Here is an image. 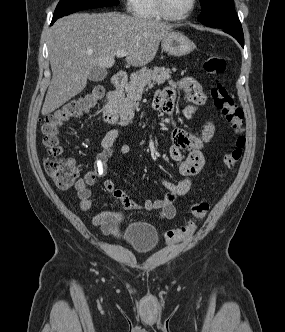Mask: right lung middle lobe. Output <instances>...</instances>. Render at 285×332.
<instances>
[{"mask_svg":"<svg viewBox=\"0 0 285 332\" xmlns=\"http://www.w3.org/2000/svg\"><path fill=\"white\" fill-rule=\"evenodd\" d=\"M119 4V0H60L53 17H63L71 13L104 6H115Z\"/></svg>","mask_w":285,"mask_h":332,"instance_id":"right-lung-middle-lobe-1","label":"right lung middle lobe"}]
</instances>
